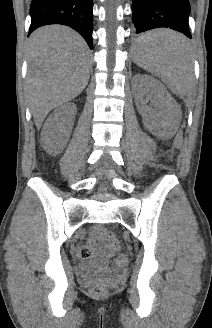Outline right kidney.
I'll use <instances>...</instances> for the list:
<instances>
[{"label": "right kidney", "mask_w": 212, "mask_h": 328, "mask_svg": "<svg viewBox=\"0 0 212 328\" xmlns=\"http://www.w3.org/2000/svg\"><path fill=\"white\" fill-rule=\"evenodd\" d=\"M77 107L74 103H67L56 109L46 120L42 129V140L47 138L66 139L70 135Z\"/></svg>", "instance_id": "ca27d5eb"}]
</instances>
